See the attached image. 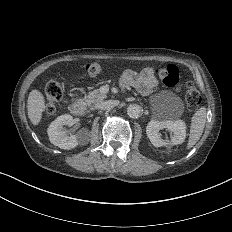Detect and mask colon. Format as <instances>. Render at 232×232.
I'll return each mask as SVG.
<instances>
[{"label":"colon","instance_id":"colon-1","mask_svg":"<svg viewBox=\"0 0 232 232\" xmlns=\"http://www.w3.org/2000/svg\"><path fill=\"white\" fill-rule=\"evenodd\" d=\"M84 73L86 76H101V71L96 63L89 62L85 65ZM164 84L166 87L180 91V99H187L189 102V111H194V107H202L199 91H203V86H196L195 83L184 81L182 79V70L179 66L169 64L162 70ZM42 89L46 97L43 98V103H48L43 109V114L53 116L57 114V107L53 103H60L63 100L62 87L58 81L50 80L42 84Z\"/></svg>","mask_w":232,"mask_h":232}]
</instances>
